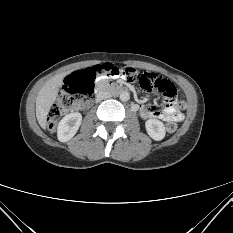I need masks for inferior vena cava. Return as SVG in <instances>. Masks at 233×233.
I'll return each mask as SVG.
<instances>
[{"label": "inferior vena cava", "mask_w": 233, "mask_h": 233, "mask_svg": "<svg viewBox=\"0 0 233 233\" xmlns=\"http://www.w3.org/2000/svg\"><path fill=\"white\" fill-rule=\"evenodd\" d=\"M109 97H110V95L107 94V93H98V94L96 95V101L99 102V101L104 100V99H107V98H109Z\"/></svg>", "instance_id": "602c4592"}]
</instances>
